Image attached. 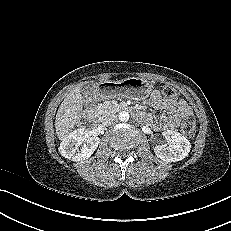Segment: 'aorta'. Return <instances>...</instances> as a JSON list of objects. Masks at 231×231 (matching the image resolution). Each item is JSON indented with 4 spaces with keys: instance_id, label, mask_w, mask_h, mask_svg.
<instances>
[{
    "instance_id": "aorta-1",
    "label": "aorta",
    "mask_w": 231,
    "mask_h": 231,
    "mask_svg": "<svg viewBox=\"0 0 231 231\" xmlns=\"http://www.w3.org/2000/svg\"><path fill=\"white\" fill-rule=\"evenodd\" d=\"M118 117L120 121L126 122L129 120V113L126 111H122L119 113Z\"/></svg>"
}]
</instances>
